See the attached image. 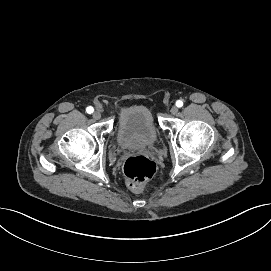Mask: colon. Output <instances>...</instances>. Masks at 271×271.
Instances as JSON below:
<instances>
[{
	"label": "colon",
	"instance_id": "5ec220e1",
	"mask_svg": "<svg viewBox=\"0 0 271 271\" xmlns=\"http://www.w3.org/2000/svg\"><path fill=\"white\" fill-rule=\"evenodd\" d=\"M128 186L132 190H140L155 174L156 164L146 156L129 157L123 166Z\"/></svg>",
	"mask_w": 271,
	"mask_h": 271
}]
</instances>
